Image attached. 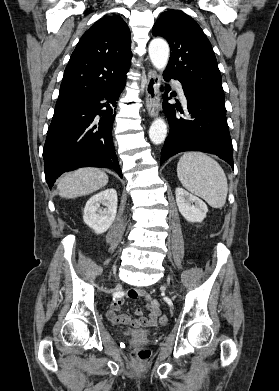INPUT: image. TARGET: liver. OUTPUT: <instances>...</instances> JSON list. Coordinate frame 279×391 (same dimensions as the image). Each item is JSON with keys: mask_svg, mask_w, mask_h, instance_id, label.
Returning <instances> with one entry per match:
<instances>
[{"mask_svg": "<svg viewBox=\"0 0 279 391\" xmlns=\"http://www.w3.org/2000/svg\"><path fill=\"white\" fill-rule=\"evenodd\" d=\"M109 178L107 174L93 167H84L71 174L63 176L57 188L62 198H76L91 194L107 185Z\"/></svg>", "mask_w": 279, "mask_h": 391, "instance_id": "6515ba94", "label": "liver"}]
</instances>
